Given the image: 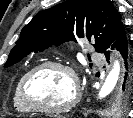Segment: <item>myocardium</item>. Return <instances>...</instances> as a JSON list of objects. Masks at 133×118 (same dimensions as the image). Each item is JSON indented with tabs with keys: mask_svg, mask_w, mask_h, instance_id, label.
I'll return each mask as SVG.
<instances>
[{
	"mask_svg": "<svg viewBox=\"0 0 133 118\" xmlns=\"http://www.w3.org/2000/svg\"><path fill=\"white\" fill-rule=\"evenodd\" d=\"M53 68L61 69L69 73V75L73 80L74 96L67 104L62 106L48 107V106L39 105L34 101V99L30 94L31 82L33 78L37 76L39 73H41L42 71L47 69H53ZM21 96H22L23 102L27 105V107L31 111H35L39 113L58 114V113H64V112L70 111L78 104L81 97V86H80L78 76L72 66L59 61H48L33 67L31 70H29L26 73V75L24 76L21 82Z\"/></svg>",
	"mask_w": 133,
	"mask_h": 118,
	"instance_id": "myocardium-1",
	"label": "myocardium"
}]
</instances>
